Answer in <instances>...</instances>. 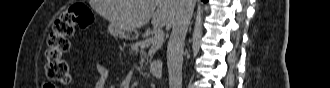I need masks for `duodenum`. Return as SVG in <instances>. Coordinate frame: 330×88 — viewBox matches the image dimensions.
I'll list each match as a JSON object with an SVG mask.
<instances>
[{
	"instance_id": "obj_1",
	"label": "duodenum",
	"mask_w": 330,
	"mask_h": 88,
	"mask_svg": "<svg viewBox=\"0 0 330 88\" xmlns=\"http://www.w3.org/2000/svg\"><path fill=\"white\" fill-rule=\"evenodd\" d=\"M150 72L155 77H161L163 73V65L159 62H153L150 64Z\"/></svg>"
}]
</instances>
